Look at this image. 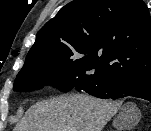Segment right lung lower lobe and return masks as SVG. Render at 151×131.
<instances>
[{
  "label": "right lung lower lobe",
  "mask_w": 151,
  "mask_h": 131,
  "mask_svg": "<svg viewBox=\"0 0 151 131\" xmlns=\"http://www.w3.org/2000/svg\"><path fill=\"white\" fill-rule=\"evenodd\" d=\"M74 89L84 90L88 94L103 99H119L134 96L151 102V77L142 79H78Z\"/></svg>",
  "instance_id": "98d812e1"
}]
</instances>
